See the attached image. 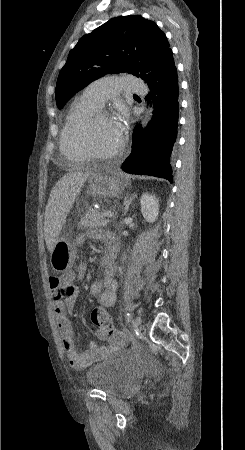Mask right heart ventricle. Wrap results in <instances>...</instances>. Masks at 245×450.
Masks as SVG:
<instances>
[{"label":"right heart ventricle","instance_id":"1","mask_svg":"<svg viewBox=\"0 0 245 450\" xmlns=\"http://www.w3.org/2000/svg\"><path fill=\"white\" fill-rule=\"evenodd\" d=\"M99 108L83 93L74 99L60 135V149L64 156L75 161L89 159L84 146V129L89 116Z\"/></svg>","mask_w":245,"mask_h":450}]
</instances>
